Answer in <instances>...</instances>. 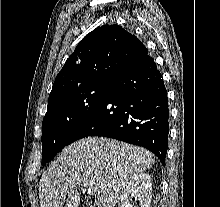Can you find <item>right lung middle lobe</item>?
<instances>
[{
  "instance_id": "obj_1",
  "label": "right lung middle lobe",
  "mask_w": 220,
  "mask_h": 207,
  "mask_svg": "<svg viewBox=\"0 0 220 207\" xmlns=\"http://www.w3.org/2000/svg\"><path fill=\"white\" fill-rule=\"evenodd\" d=\"M108 82L87 85L48 102L42 125V163L69 145L70 138L100 103Z\"/></svg>"
}]
</instances>
